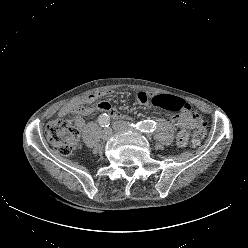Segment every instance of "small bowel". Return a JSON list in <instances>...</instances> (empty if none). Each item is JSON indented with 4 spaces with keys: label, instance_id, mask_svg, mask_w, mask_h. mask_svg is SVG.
Listing matches in <instances>:
<instances>
[{
    "label": "small bowel",
    "instance_id": "1",
    "mask_svg": "<svg viewBox=\"0 0 248 248\" xmlns=\"http://www.w3.org/2000/svg\"><path fill=\"white\" fill-rule=\"evenodd\" d=\"M111 91H102L90 95L83 96L75 101L70 102L69 104L63 106L59 111L58 115L60 117L68 116L72 113H90L93 111L91 107H85L84 105H88L94 102H97L95 106V110L101 113H106L112 118H119L120 114L115 106L110 104L107 101L102 100L103 98L111 95ZM136 99L139 104L149 105L150 103V94L147 92H139L136 96ZM171 122L181 128L176 132L177 137V145L179 147H184L188 143L189 140V132L188 129L193 126L194 119L190 114V111H183L180 115H169ZM79 127L83 125V119L78 117L75 121Z\"/></svg>",
    "mask_w": 248,
    "mask_h": 248
}]
</instances>
